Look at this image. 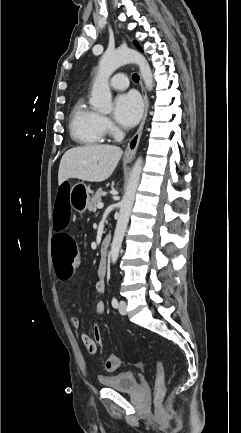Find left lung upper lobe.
Segmentation results:
<instances>
[{"label": "left lung upper lobe", "mask_w": 241, "mask_h": 433, "mask_svg": "<svg viewBox=\"0 0 241 433\" xmlns=\"http://www.w3.org/2000/svg\"><path fill=\"white\" fill-rule=\"evenodd\" d=\"M135 45L137 48H139L141 50L140 46L138 45V43L136 41H135Z\"/></svg>", "instance_id": "obj_1"}]
</instances>
